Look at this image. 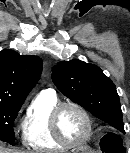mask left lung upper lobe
Segmentation results:
<instances>
[{
  "label": "left lung upper lobe",
  "instance_id": "5c2ea615",
  "mask_svg": "<svg viewBox=\"0 0 130 153\" xmlns=\"http://www.w3.org/2000/svg\"><path fill=\"white\" fill-rule=\"evenodd\" d=\"M52 79L66 97L124 132L116 87L98 66L80 60L61 61L54 66Z\"/></svg>",
  "mask_w": 130,
  "mask_h": 153
}]
</instances>
